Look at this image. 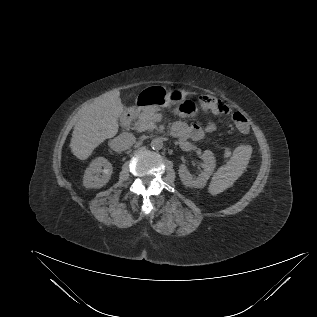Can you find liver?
Instances as JSON below:
<instances>
[{"mask_svg":"<svg viewBox=\"0 0 317 317\" xmlns=\"http://www.w3.org/2000/svg\"><path fill=\"white\" fill-rule=\"evenodd\" d=\"M120 92L102 94L85 107L74 126L70 148L74 156L86 160L102 142L118 132V117L123 112Z\"/></svg>","mask_w":317,"mask_h":317,"instance_id":"1","label":"liver"}]
</instances>
